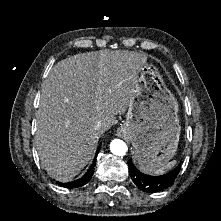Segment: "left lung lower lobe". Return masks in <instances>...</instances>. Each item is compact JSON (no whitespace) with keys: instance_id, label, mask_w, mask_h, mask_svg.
I'll return each instance as SVG.
<instances>
[{"instance_id":"1","label":"left lung lower lobe","mask_w":221,"mask_h":221,"mask_svg":"<svg viewBox=\"0 0 221 221\" xmlns=\"http://www.w3.org/2000/svg\"><path fill=\"white\" fill-rule=\"evenodd\" d=\"M130 176L133 179V182L144 192L154 193L158 191H162L168 187H170L177 175L179 174L181 163L171 170L169 173L160 176H150L141 173L132 163L131 160H128Z\"/></svg>"}]
</instances>
